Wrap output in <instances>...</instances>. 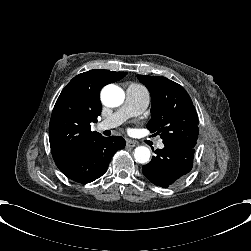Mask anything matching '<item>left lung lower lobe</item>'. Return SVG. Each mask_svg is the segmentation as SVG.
Masks as SVG:
<instances>
[{
	"label": "left lung lower lobe",
	"mask_w": 251,
	"mask_h": 251,
	"mask_svg": "<svg viewBox=\"0 0 251 251\" xmlns=\"http://www.w3.org/2000/svg\"><path fill=\"white\" fill-rule=\"evenodd\" d=\"M194 152V148L165 146L163 149H157L151 162L142 167V172L156 186L167 188L190 172Z\"/></svg>",
	"instance_id": "obj_1"
}]
</instances>
